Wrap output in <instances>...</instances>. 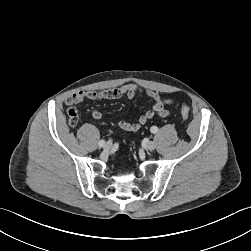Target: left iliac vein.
<instances>
[{
    "label": "left iliac vein",
    "mask_w": 251,
    "mask_h": 251,
    "mask_svg": "<svg viewBox=\"0 0 251 251\" xmlns=\"http://www.w3.org/2000/svg\"><path fill=\"white\" fill-rule=\"evenodd\" d=\"M146 148H147L149 151H153V150L156 148L155 142L149 141V142L146 144Z\"/></svg>",
    "instance_id": "4c4485c4"
}]
</instances>
